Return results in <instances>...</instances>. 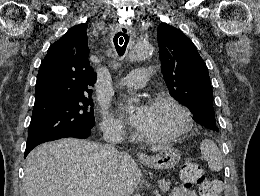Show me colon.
Instances as JSON below:
<instances>
[{"label":"colon","instance_id":"obj_1","mask_svg":"<svg viewBox=\"0 0 260 196\" xmlns=\"http://www.w3.org/2000/svg\"><path fill=\"white\" fill-rule=\"evenodd\" d=\"M180 178L184 186H204L207 184L206 176L197 162L186 160L181 168ZM220 195L219 192H216Z\"/></svg>","mask_w":260,"mask_h":196}]
</instances>
